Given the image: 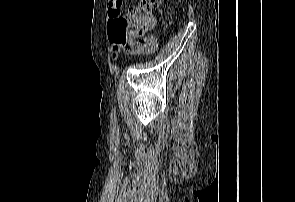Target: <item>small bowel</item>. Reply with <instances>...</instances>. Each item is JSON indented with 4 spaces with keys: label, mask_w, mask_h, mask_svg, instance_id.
<instances>
[{
    "label": "small bowel",
    "mask_w": 295,
    "mask_h": 202,
    "mask_svg": "<svg viewBox=\"0 0 295 202\" xmlns=\"http://www.w3.org/2000/svg\"><path fill=\"white\" fill-rule=\"evenodd\" d=\"M124 0H108V16L110 21H115L122 13V6H123ZM155 24L154 19L149 18V23L147 28H152ZM145 41L147 43H150L152 45V48L149 51H146L148 53H151L152 51L155 50L157 41L156 38L153 36H148L145 38ZM128 52H139L138 48L133 45H126L124 48ZM121 51V47L116 48V52Z\"/></svg>",
    "instance_id": "small-bowel-1"
}]
</instances>
